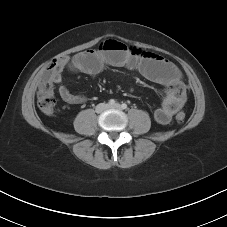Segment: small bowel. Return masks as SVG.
Returning a JSON list of instances; mask_svg holds the SVG:
<instances>
[{"mask_svg": "<svg viewBox=\"0 0 227 227\" xmlns=\"http://www.w3.org/2000/svg\"><path fill=\"white\" fill-rule=\"evenodd\" d=\"M136 50L119 41L107 40L96 49L80 52L72 58H61L60 63L49 72L48 79L58 84V93L64 101L83 104L87 101L85 96L72 94L61 84L65 69L90 75L100 73L105 66L137 69L146 79L165 87L164 100L155 110L154 118L159 124L166 125L186 101L181 73L164 57L143 51L139 54Z\"/></svg>", "mask_w": 227, "mask_h": 227, "instance_id": "c3829d8e", "label": "small bowel"}]
</instances>
